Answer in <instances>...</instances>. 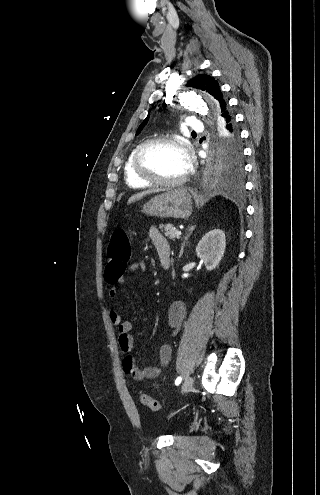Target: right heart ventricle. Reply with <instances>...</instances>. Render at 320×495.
<instances>
[{"instance_id": "e07e8e85", "label": "right heart ventricle", "mask_w": 320, "mask_h": 495, "mask_svg": "<svg viewBox=\"0 0 320 495\" xmlns=\"http://www.w3.org/2000/svg\"><path fill=\"white\" fill-rule=\"evenodd\" d=\"M137 148H134L130 154L128 155L126 161H125V164H124V178H125V181L127 183V185L131 188H135V189H138V188H147L149 187L151 184L146 182V181H143L141 179H139L135 174H134V171H133V168H132V161H133V156H134V153L136 151Z\"/></svg>"}]
</instances>
